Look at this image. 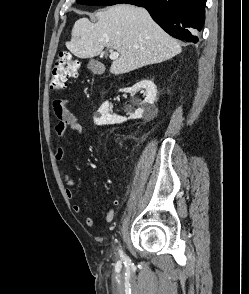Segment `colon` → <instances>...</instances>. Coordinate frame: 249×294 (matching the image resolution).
<instances>
[{
    "label": "colon",
    "mask_w": 249,
    "mask_h": 294,
    "mask_svg": "<svg viewBox=\"0 0 249 294\" xmlns=\"http://www.w3.org/2000/svg\"><path fill=\"white\" fill-rule=\"evenodd\" d=\"M79 62L73 56L64 52L59 54L51 71L50 86L54 91L65 88L69 79L78 75Z\"/></svg>",
    "instance_id": "obj_1"
}]
</instances>
